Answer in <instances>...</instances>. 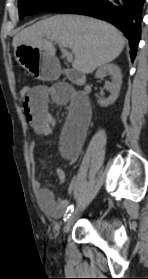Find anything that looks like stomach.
Instances as JSON below:
<instances>
[{
  "mask_svg": "<svg viewBox=\"0 0 148 279\" xmlns=\"http://www.w3.org/2000/svg\"><path fill=\"white\" fill-rule=\"evenodd\" d=\"M15 59L23 66L21 75L37 78V82H58V61L43 50L21 45L15 50Z\"/></svg>",
  "mask_w": 148,
  "mask_h": 279,
  "instance_id": "1",
  "label": "stomach"
}]
</instances>
